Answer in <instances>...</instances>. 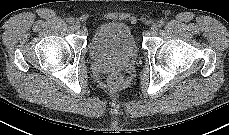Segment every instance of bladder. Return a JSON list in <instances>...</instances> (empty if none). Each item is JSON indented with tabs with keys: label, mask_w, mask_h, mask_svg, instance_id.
<instances>
[{
	"label": "bladder",
	"mask_w": 229,
	"mask_h": 135,
	"mask_svg": "<svg viewBox=\"0 0 229 135\" xmlns=\"http://www.w3.org/2000/svg\"><path fill=\"white\" fill-rule=\"evenodd\" d=\"M89 52L94 59L132 60L138 55V46L127 25L108 22L93 32Z\"/></svg>",
	"instance_id": "1"
}]
</instances>
